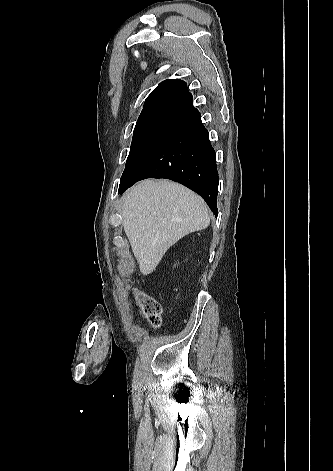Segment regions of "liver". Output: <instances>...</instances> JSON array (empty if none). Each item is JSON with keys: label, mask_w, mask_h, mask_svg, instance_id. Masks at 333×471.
I'll use <instances>...</instances> for the list:
<instances>
[{"label": "liver", "mask_w": 333, "mask_h": 471, "mask_svg": "<svg viewBox=\"0 0 333 471\" xmlns=\"http://www.w3.org/2000/svg\"><path fill=\"white\" fill-rule=\"evenodd\" d=\"M122 216L143 275L152 273L178 240L210 223L204 200L168 180L148 179L131 188L123 198Z\"/></svg>", "instance_id": "liver-1"}]
</instances>
